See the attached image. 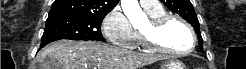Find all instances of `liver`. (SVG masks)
<instances>
[{
    "mask_svg": "<svg viewBox=\"0 0 246 69\" xmlns=\"http://www.w3.org/2000/svg\"><path fill=\"white\" fill-rule=\"evenodd\" d=\"M51 58L61 69H138L159 60V56L136 53L96 41L59 40L42 50L40 66Z\"/></svg>",
    "mask_w": 246,
    "mask_h": 69,
    "instance_id": "liver-1",
    "label": "liver"
}]
</instances>
